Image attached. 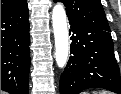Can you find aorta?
Segmentation results:
<instances>
[{"mask_svg":"<svg viewBox=\"0 0 121 94\" xmlns=\"http://www.w3.org/2000/svg\"><path fill=\"white\" fill-rule=\"evenodd\" d=\"M53 30L55 37V60L58 67L63 68L68 60L69 38L66 12L62 4L58 3L52 10Z\"/></svg>","mask_w":121,"mask_h":94,"instance_id":"obj_1","label":"aorta"}]
</instances>
